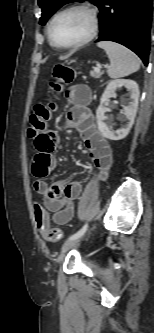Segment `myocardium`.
<instances>
[{
    "label": "myocardium",
    "mask_w": 154,
    "mask_h": 333,
    "mask_svg": "<svg viewBox=\"0 0 154 333\" xmlns=\"http://www.w3.org/2000/svg\"><path fill=\"white\" fill-rule=\"evenodd\" d=\"M70 11H82L87 14V16L89 17V22H90L89 31L85 37H83L82 39H80L74 43H71L69 45H59L54 41V38L52 35V26H53V23L55 22V20L59 16L65 14L67 12H70ZM98 30H99V16H98L96 9H94L92 6H90L88 4H84V3L71 4L67 7H64L63 9L59 10L58 12H56L53 15V17L49 21V24L47 27V33H48V37H49L51 44L54 47H56L58 49H63V50L74 49V48H77V47H80V46H83V45L89 43L96 37Z\"/></svg>",
    "instance_id": "1"
}]
</instances>
